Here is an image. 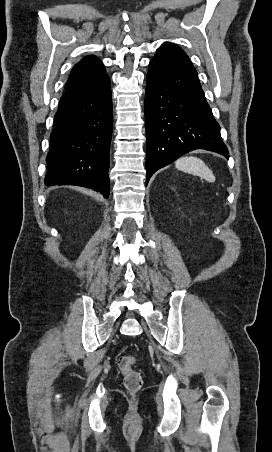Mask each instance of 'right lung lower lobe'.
<instances>
[{
	"instance_id": "right-lung-lower-lobe-1",
	"label": "right lung lower lobe",
	"mask_w": 272,
	"mask_h": 452,
	"mask_svg": "<svg viewBox=\"0 0 272 452\" xmlns=\"http://www.w3.org/2000/svg\"><path fill=\"white\" fill-rule=\"evenodd\" d=\"M112 124L108 76L95 84L66 90L50 135L45 185L84 186L108 198Z\"/></svg>"
}]
</instances>
